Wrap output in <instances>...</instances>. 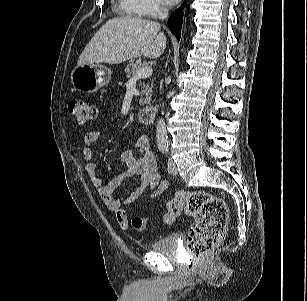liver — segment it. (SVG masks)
<instances>
[{"mask_svg":"<svg viewBox=\"0 0 307 301\" xmlns=\"http://www.w3.org/2000/svg\"><path fill=\"white\" fill-rule=\"evenodd\" d=\"M157 22L137 17L107 21L81 53L77 64H119L140 56L156 59L166 49V36Z\"/></svg>","mask_w":307,"mask_h":301,"instance_id":"6515ba94","label":"liver"}]
</instances>
